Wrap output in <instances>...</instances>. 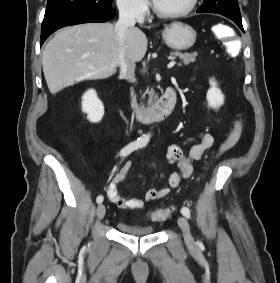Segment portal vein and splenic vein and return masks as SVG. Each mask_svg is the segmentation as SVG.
<instances>
[{"label": "portal vein and splenic vein", "instance_id": "1", "mask_svg": "<svg viewBox=\"0 0 280 283\" xmlns=\"http://www.w3.org/2000/svg\"><path fill=\"white\" fill-rule=\"evenodd\" d=\"M175 63H176L175 60H172L168 63L167 67L170 69L175 65Z\"/></svg>", "mask_w": 280, "mask_h": 283}]
</instances>
